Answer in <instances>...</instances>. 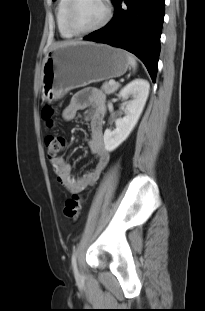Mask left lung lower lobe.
Returning a JSON list of instances; mask_svg holds the SVG:
<instances>
[{
    "label": "left lung lower lobe",
    "mask_w": 205,
    "mask_h": 311,
    "mask_svg": "<svg viewBox=\"0 0 205 311\" xmlns=\"http://www.w3.org/2000/svg\"><path fill=\"white\" fill-rule=\"evenodd\" d=\"M113 0L115 14L103 28L84 39L125 49L135 54L146 66L155 82L160 54V36L165 0Z\"/></svg>",
    "instance_id": "1"
}]
</instances>
